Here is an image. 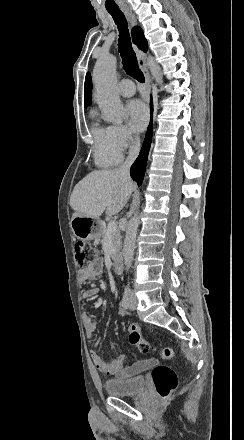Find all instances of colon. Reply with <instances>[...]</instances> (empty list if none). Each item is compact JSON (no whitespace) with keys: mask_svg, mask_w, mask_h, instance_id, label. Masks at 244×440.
I'll use <instances>...</instances> for the list:
<instances>
[{"mask_svg":"<svg viewBox=\"0 0 244 440\" xmlns=\"http://www.w3.org/2000/svg\"><path fill=\"white\" fill-rule=\"evenodd\" d=\"M96 257V249L88 247L84 241H78L75 244V263L78 270H84L87 264L94 261ZM136 328L137 325L133 322L129 328L131 330L129 336L130 343L136 345L142 353L150 352L152 345L143 338L138 328L136 333ZM160 357L164 360H173L176 357V353L171 346H166L160 352ZM152 377L156 393L162 400L169 398L172 391L178 385L176 374L165 365L157 366Z\"/></svg>","mask_w":244,"mask_h":440,"instance_id":"1","label":"colon"}]
</instances>
